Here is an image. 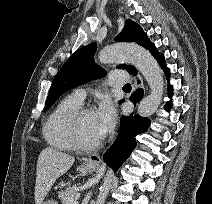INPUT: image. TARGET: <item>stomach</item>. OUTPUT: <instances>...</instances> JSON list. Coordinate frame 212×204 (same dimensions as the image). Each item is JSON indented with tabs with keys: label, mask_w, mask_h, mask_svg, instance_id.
<instances>
[{
	"label": "stomach",
	"mask_w": 212,
	"mask_h": 204,
	"mask_svg": "<svg viewBox=\"0 0 212 204\" xmlns=\"http://www.w3.org/2000/svg\"><path fill=\"white\" fill-rule=\"evenodd\" d=\"M78 170L82 175H88V174H90L94 171V166L81 165ZM43 204H58V203L56 201H53V200H47Z\"/></svg>",
	"instance_id": "1"
}]
</instances>
